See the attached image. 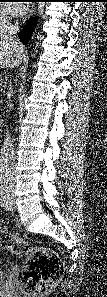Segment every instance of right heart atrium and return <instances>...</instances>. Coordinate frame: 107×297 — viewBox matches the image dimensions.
Returning <instances> with one entry per match:
<instances>
[{
  "label": "right heart atrium",
  "instance_id": "d8ad5b80",
  "mask_svg": "<svg viewBox=\"0 0 107 297\" xmlns=\"http://www.w3.org/2000/svg\"><path fill=\"white\" fill-rule=\"evenodd\" d=\"M1 20H5L6 19V13L4 11H1Z\"/></svg>",
  "mask_w": 107,
  "mask_h": 297
}]
</instances>
